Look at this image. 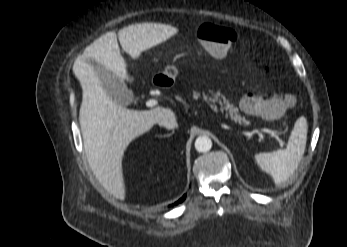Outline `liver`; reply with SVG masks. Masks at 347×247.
Here are the masks:
<instances>
[{
  "mask_svg": "<svg viewBox=\"0 0 347 247\" xmlns=\"http://www.w3.org/2000/svg\"><path fill=\"white\" fill-rule=\"evenodd\" d=\"M175 32L176 28L170 25L142 23L119 30L118 39L122 49L136 59L141 52L167 40ZM90 60L101 64L122 81L128 80L126 62L120 54L114 31L86 47L72 69L83 89L79 122L88 163L104 188L116 198L124 199V151L133 139L149 131L159 116L172 111L160 106L145 111L130 110L117 104L103 90Z\"/></svg>",
  "mask_w": 347,
  "mask_h": 247,
  "instance_id": "1",
  "label": "liver"
}]
</instances>
